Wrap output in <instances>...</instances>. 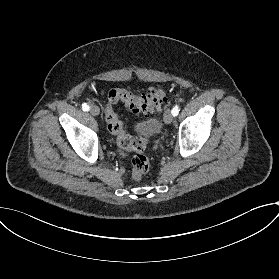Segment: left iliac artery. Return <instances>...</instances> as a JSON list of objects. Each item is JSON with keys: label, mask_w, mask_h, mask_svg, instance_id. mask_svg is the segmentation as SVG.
Returning a JSON list of instances; mask_svg holds the SVG:
<instances>
[{"label": "left iliac artery", "mask_w": 279, "mask_h": 279, "mask_svg": "<svg viewBox=\"0 0 279 279\" xmlns=\"http://www.w3.org/2000/svg\"><path fill=\"white\" fill-rule=\"evenodd\" d=\"M171 113H172L173 116H177L178 113H179V107L176 105V106L172 109Z\"/></svg>", "instance_id": "left-iliac-artery-1"}]
</instances>
